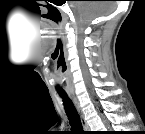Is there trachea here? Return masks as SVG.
<instances>
[{
  "label": "trachea",
  "instance_id": "1",
  "mask_svg": "<svg viewBox=\"0 0 145 134\" xmlns=\"http://www.w3.org/2000/svg\"><path fill=\"white\" fill-rule=\"evenodd\" d=\"M62 98H63L64 109L68 116L69 123L71 125L72 130L75 132H84L79 115L73 103L66 95H62Z\"/></svg>",
  "mask_w": 145,
  "mask_h": 134
}]
</instances>
